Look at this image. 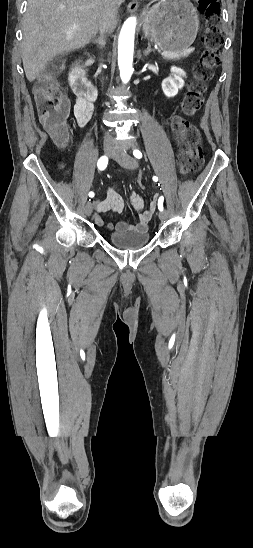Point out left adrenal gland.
<instances>
[{"instance_id":"1","label":"left adrenal gland","mask_w":253,"mask_h":548,"mask_svg":"<svg viewBox=\"0 0 253 548\" xmlns=\"http://www.w3.org/2000/svg\"><path fill=\"white\" fill-rule=\"evenodd\" d=\"M151 52H154V50L151 49V45H150V43H148V47H147V49L144 51V56H145V57L148 56Z\"/></svg>"}]
</instances>
